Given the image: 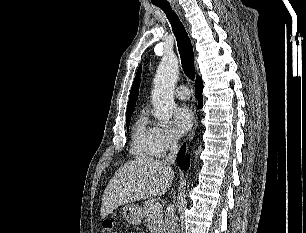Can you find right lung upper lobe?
<instances>
[{
	"instance_id": "right-lung-upper-lobe-1",
	"label": "right lung upper lobe",
	"mask_w": 306,
	"mask_h": 233,
	"mask_svg": "<svg viewBox=\"0 0 306 233\" xmlns=\"http://www.w3.org/2000/svg\"><path fill=\"white\" fill-rule=\"evenodd\" d=\"M140 73L141 68L138 69L135 80L133 82L131 91H130V98L127 106V112L126 115L132 114L135 108V103L138 98V92H139V83H140Z\"/></svg>"
}]
</instances>
